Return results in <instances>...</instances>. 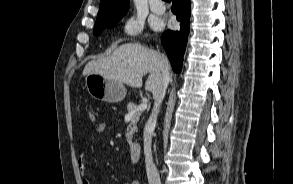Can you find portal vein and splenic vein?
I'll return each instance as SVG.
<instances>
[{"mask_svg":"<svg viewBox=\"0 0 293 184\" xmlns=\"http://www.w3.org/2000/svg\"><path fill=\"white\" fill-rule=\"evenodd\" d=\"M147 108V102L146 101H143L138 107H137V110L138 111H144L146 110Z\"/></svg>","mask_w":293,"mask_h":184,"instance_id":"portal-vein-and-splenic-vein-1","label":"portal vein and splenic vein"}]
</instances>
